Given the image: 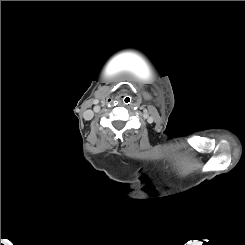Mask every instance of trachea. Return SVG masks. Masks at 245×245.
Wrapping results in <instances>:
<instances>
[{"label": "trachea", "instance_id": "obj_1", "mask_svg": "<svg viewBox=\"0 0 245 245\" xmlns=\"http://www.w3.org/2000/svg\"><path fill=\"white\" fill-rule=\"evenodd\" d=\"M122 102L126 105H129L131 103V98L129 96H126L122 99Z\"/></svg>", "mask_w": 245, "mask_h": 245}]
</instances>
